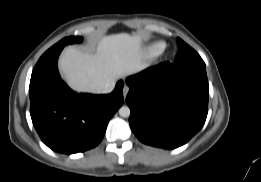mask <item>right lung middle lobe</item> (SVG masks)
Listing matches in <instances>:
<instances>
[{
    "mask_svg": "<svg viewBox=\"0 0 261 182\" xmlns=\"http://www.w3.org/2000/svg\"><path fill=\"white\" fill-rule=\"evenodd\" d=\"M82 37H66L64 39H62L61 41H59L57 44H55L53 47L51 48H55V47H64L67 44H72V43H80L82 42Z\"/></svg>",
    "mask_w": 261,
    "mask_h": 182,
    "instance_id": "1",
    "label": "right lung middle lobe"
}]
</instances>
